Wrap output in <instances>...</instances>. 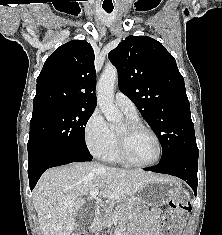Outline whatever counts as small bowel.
Here are the masks:
<instances>
[{
    "label": "small bowel",
    "instance_id": "small-bowel-1",
    "mask_svg": "<svg viewBox=\"0 0 222 235\" xmlns=\"http://www.w3.org/2000/svg\"><path fill=\"white\" fill-rule=\"evenodd\" d=\"M159 211L153 210L146 226L140 235H158Z\"/></svg>",
    "mask_w": 222,
    "mask_h": 235
}]
</instances>
